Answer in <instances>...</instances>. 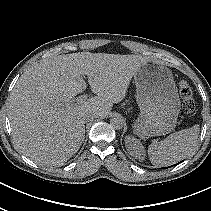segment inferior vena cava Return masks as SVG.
I'll return each mask as SVG.
<instances>
[{
    "label": "inferior vena cava",
    "instance_id": "1",
    "mask_svg": "<svg viewBox=\"0 0 211 211\" xmlns=\"http://www.w3.org/2000/svg\"><path fill=\"white\" fill-rule=\"evenodd\" d=\"M95 117L96 116L94 114L90 113V114H85L83 119L85 122H89V121L93 120Z\"/></svg>",
    "mask_w": 211,
    "mask_h": 211
}]
</instances>
